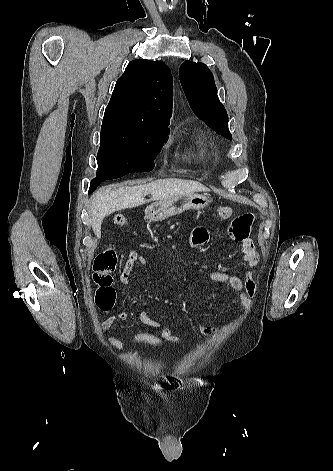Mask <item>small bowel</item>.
<instances>
[{
  "label": "small bowel",
  "instance_id": "c3829d8e",
  "mask_svg": "<svg viewBox=\"0 0 333 471\" xmlns=\"http://www.w3.org/2000/svg\"><path fill=\"white\" fill-rule=\"evenodd\" d=\"M253 222V215L244 213L234 218L228 227L229 235L232 239L241 243L242 263L247 268L244 278L232 275L223 271H214L206 275V279L216 282L227 284L233 291L235 296L232 298L233 304H240L245 309H249L252 304V299L257 292V285L253 278V271L251 270L259 262V254L255 245L250 238V229ZM209 240V232L205 227H196L191 236V243L193 246H202ZM146 259L136 251H130L124 269L119 275V280L122 284L129 283L130 275L136 265H144ZM125 321L128 319V313L125 311L120 312L118 315H111L107 317L101 324V329L108 331L116 320ZM142 324L151 328H160V323L151 319L147 313L143 312L140 315ZM198 331L204 336H211L215 333L216 329L211 325H199ZM160 335L166 342L179 343L182 338L174 334L170 327H165L161 330ZM107 342L115 349L121 350L123 342L114 336H107Z\"/></svg>",
  "mask_w": 333,
  "mask_h": 471
}]
</instances>
